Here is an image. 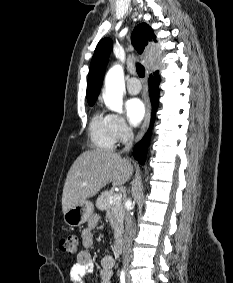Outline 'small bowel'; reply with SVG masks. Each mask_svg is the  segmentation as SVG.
<instances>
[{"label": "small bowel", "instance_id": "c3829d8e", "mask_svg": "<svg viewBox=\"0 0 233 283\" xmlns=\"http://www.w3.org/2000/svg\"><path fill=\"white\" fill-rule=\"evenodd\" d=\"M98 218L93 216L87 228L82 232V244L85 248L76 258V263L71 267L70 279L73 283H85L84 278L93 271V261L87 249L93 246L92 231L97 225ZM115 259L112 255H106L101 260L100 280L97 283H111Z\"/></svg>", "mask_w": 233, "mask_h": 283}]
</instances>
